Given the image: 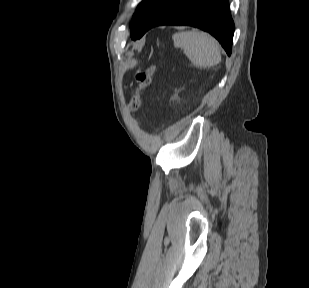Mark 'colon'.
Segmentation results:
<instances>
[{
  "label": "colon",
  "mask_w": 309,
  "mask_h": 288,
  "mask_svg": "<svg viewBox=\"0 0 309 288\" xmlns=\"http://www.w3.org/2000/svg\"><path fill=\"white\" fill-rule=\"evenodd\" d=\"M155 67L149 65L147 67L140 68L135 73V80L137 83L135 93L129 103V109L135 112L139 109L142 101L143 91L151 84L153 79Z\"/></svg>",
  "instance_id": "1"
}]
</instances>
